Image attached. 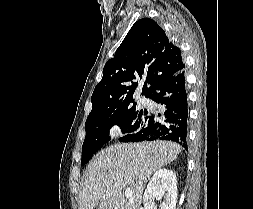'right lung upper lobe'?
I'll return each mask as SVG.
<instances>
[{
    "label": "right lung upper lobe",
    "mask_w": 253,
    "mask_h": 209,
    "mask_svg": "<svg viewBox=\"0 0 253 209\" xmlns=\"http://www.w3.org/2000/svg\"><path fill=\"white\" fill-rule=\"evenodd\" d=\"M184 68L181 50L169 41L165 31L149 18L138 20L114 58L105 64L102 80L92 94L88 118L135 106L133 94L138 87L137 80H145L142 94L151 98L169 78Z\"/></svg>",
    "instance_id": "1"
}]
</instances>
